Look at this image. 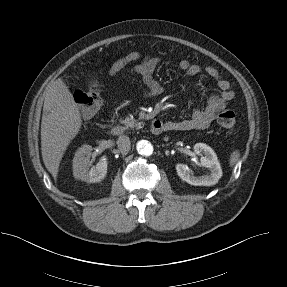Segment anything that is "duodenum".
<instances>
[{
	"instance_id": "1",
	"label": "duodenum",
	"mask_w": 287,
	"mask_h": 287,
	"mask_svg": "<svg viewBox=\"0 0 287 287\" xmlns=\"http://www.w3.org/2000/svg\"><path fill=\"white\" fill-rule=\"evenodd\" d=\"M150 129L153 134L159 135L165 130V127L163 122L155 119L152 121ZM110 131L113 135L120 136L125 133V128L122 125L115 124L111 126Z\"/></svg>"
}]
</instances>
